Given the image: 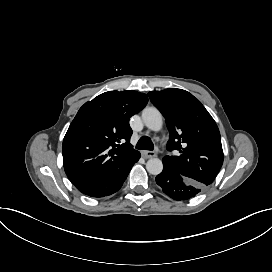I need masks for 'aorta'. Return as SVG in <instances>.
<instances>
[{"label": "aorta", "mask_w": 272, "mask_h": 272, "mask_svg": "<svg viewBox=\"0 0 272 272\" xmlns=\"http://www.w3.org/2000/svg\"><path fill=\"white\" fill-rule=\"evenodd\" d=\"M142 119L145 125L153 131H159L162 128V115L154 106L143 109ZM146 169L150 174L158 175L163 170L162 161L158 158H151L146 163Z\"/></svg>", "instance_id": "obj_1"}]
</instances>
